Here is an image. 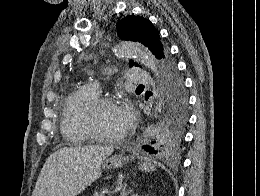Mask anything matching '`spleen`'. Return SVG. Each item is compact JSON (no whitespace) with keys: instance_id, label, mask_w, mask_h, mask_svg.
<instances>
[{"instance_id":"3e777b00","label":"spleen","mask_w":260,"mask_h":196,"mask_svg":"<svg viewBox=\"0 0 260 196\" xmlns=\"http://www.w3.org/2000/svg\"><path fill=\"white\" fill-rule=\"evenodd\" d=\"M140 170H142V172H154V164H152V162H145V164H140Z\"/></svg>"}]
</instances>
